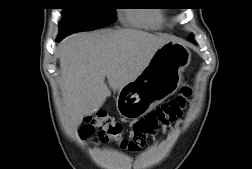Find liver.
<instances>
[{"label": "liver", "instance_id": "6515ba94", "mask_svg": "<svg viewBox=\"0 0 252 169\" xmlns=\"http://www.w3.org/2000/svg\"><path fill=\"white\" fill-rule=\"evenodd\" d=\"M171 38L137 29L82 32L59 45L60 88L68 127L76 129L110 96L135 80ZM107 78L108 85L105 82Z\"/></svg>", "mask_w": 252, "mask_h": 169}]
</instances>
